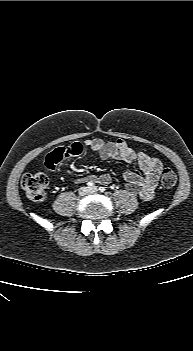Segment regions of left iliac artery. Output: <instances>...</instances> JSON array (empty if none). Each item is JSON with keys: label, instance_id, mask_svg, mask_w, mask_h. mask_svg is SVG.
Returning a JSON list of instances; mask_svg holds the SVG:
<instances>
[{"label": "left iliac artery", "instance_id": "left-iliac-artery-1", "mask_svg": "<svg viewBox=\"0 0 193 351\" xmlns=\"http://www.w3.org/2000/svg\"><path fill=\"white\" fill-rule=\"evenodd\" d=\"M105 190H106L105 187H99V191H100V192L103 193V192H105Z\"/></svg>", "mask_w": 193, "mask_h": 351}]
</instances>
